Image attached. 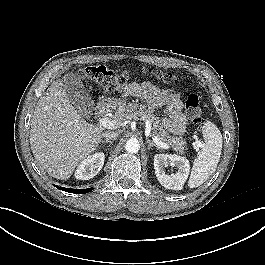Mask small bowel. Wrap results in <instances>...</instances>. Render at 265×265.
Masks as SVG:
<instances>
[{
	"label": "small bowel",
	"instance_id": "obj_1",
	"mask_svg": "<svg viewBox=\"0 0 265 265\" xmlns=\"http://www.w3.org/2000/svg\"><path fill=\"white\" fill-rule=\"evenodd\" d=\"M122 96L139 97L149 106L163 108L166 114L162 119L163 127L175 135H181L185 131L186 118L178 95L164 93L150 82H133L123 90Z\"/></svg>",
	"mask_w": 265,
	"mask_h": 265
}]
</instances>
